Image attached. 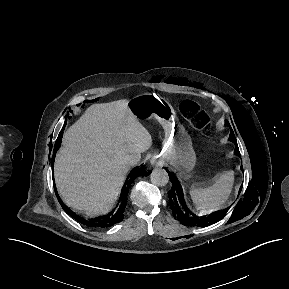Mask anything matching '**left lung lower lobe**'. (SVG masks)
<instances>
[{
	"label": "left lung lower lobe",
	"instance_id": "0a47b994",
	"mask_svg": "<svg viewBox=\"0 0 289 289\" xmlns=\"http://www.w3.org/2000/svg\"><path fill=\"white\" fill-rule=\"evenodd\" d=\"M168 173H169V178L172 179V188L168 192L169 197H170L169 204L171 206L174 217L177 216L183 225L204 227L214 222H217L223 217V216H217V217L200 216L199 217L193 214L187 208L185 204V201L183 198L182 187L179 181L169 171Z\"/></svg>",
	"mask_w": 289,
	"mask_h": 289
}]
</instances>
